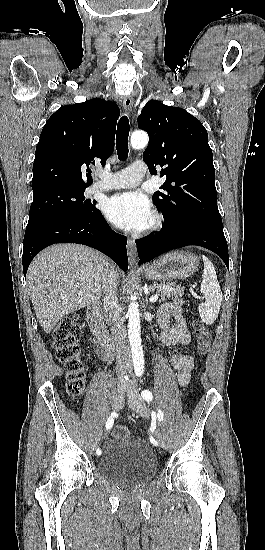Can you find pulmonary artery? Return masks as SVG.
<instances>
[{"mask_svg":"<svg viewBox=\"0 0 265 550\" xmlns=\"http://www.w3.org/2000/svg\"><path fill=\"white\" fill-rule=\"evenodd\" d=\"M146 173L145 164L142 161L133 162L128 168L114 174L109 180L98 181L91 185V193L132 188L139 184Z\"/></svg>","mask_w":265,"mask_h":550,"instance_id":"e3ab8cb5","label":"pulmonary artery"}]
</instances>
